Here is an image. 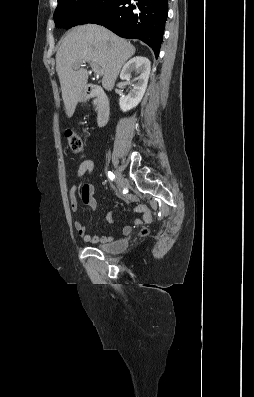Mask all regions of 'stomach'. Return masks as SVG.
<instances>
[{
    "mask_svg": "<svg viewBox=\"0 0 254 397\" xmlns=\"http://www.w3.org/2000/svg\"><path fill=\"white\" fill-rule=\"evenodd\" d=\"M85 98H86L85 94H84V93H81L80 98H79V101H84Z\"/></svg>",
    "mask_w": 254,
    "mask_h": 397,
    "instance_id": "1",
    "label": "stomach"
}]
</instances>
